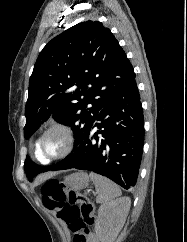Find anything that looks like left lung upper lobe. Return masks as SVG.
<instances>
[{"label": "left lung upper lobe", "mask_w": 187, "mask_h": 242, "mask_svg": "<svg viewBox=\"0 0 187 242\" xmlns=\"http://www.w3.org/2000/svg\"><path fill=\"white\" fill-rule=\"evenodd\" d=\"M135 77L124 50L102 23L81 22L67 29L46 44L34 65L24 137L52 116L73 129L74 151L100 110ZM57 164L42 167L27 156L24 168L31 181Z\"/></svg>", "instance_id": "5c2ea615"}]
</instances>
